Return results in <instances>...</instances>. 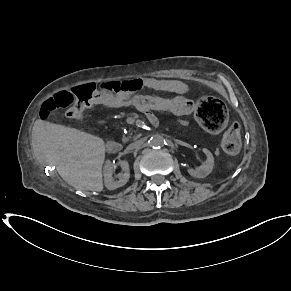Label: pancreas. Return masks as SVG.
<instances>
[{
  "label": "pancreas",
  "mask_w": 291,
  "mask_h": 291,
  "mask_svg": "<svg viewBox=\"0 0 291 291\" xmlns=\"http://www.w3.org/2000/svg\"><path fill=\"white\" fill-rule=\"evenodd\" d=\"M129 140L128 137H123V142H127Z\"/></svg>",
  "instance_id": "obj_1"
}]
</instances>
